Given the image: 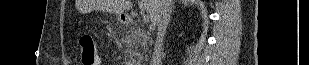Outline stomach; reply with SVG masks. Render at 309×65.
Here are the masks:
<instances>
[{"mask_svg":"<svg viewBox=\"0 0 309 65\" xmlns=\"http://www.w3.org/2000/svg\"><path fill=\"white\" fill-rule=\"evenodd\" d=\"M118 20H119L120 22H122V21H123V19H122L121 15H120V16H118Z\"/></svg>","mask_w":309,"mask_h":65,"instance_id":"1","label":"stomach"}]
</instances>
